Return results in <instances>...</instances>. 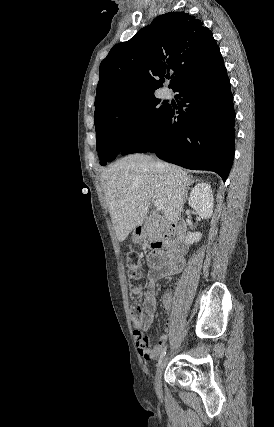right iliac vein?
<instances>
[{
    "mask_svg": "<svg viewBox=\"0 0 274 427\" xmlns=\"http://www.w3.org/2000/svg\"><path fill=\"white\" fill-rule=\"evenodd\" d=\"M166 361H167V356L163 358L162 362L160 363V365L158 366V369L155 373V377H154V388L156 390V392H160L161 391V386H162V373H163V369L166 365Z\"/></svg>",
    "mask_w": 274,
    "mask_h": 427,
    "instance_id": "1",
    "label": "right iliac vein"
}]
</instances>
